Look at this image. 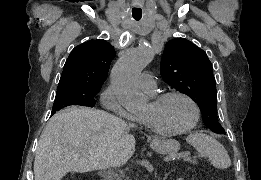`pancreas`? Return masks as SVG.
Instances as JSON below:
<instances>
[{"label":"pancreas","mask_w":261,"mask_h":180,"mask_svg":"<svg viewBox=\"0 0 261 180\" xmlns=\"http://www.w3.org/2000/svg\"><path fill=\"white\" fill-rule=\"evenodd\" d=\"M189 163H190V164H197V163H198V160L191 158V161H190Z\"/></svg>","instance_id":"obj_1"}]
</instances>
